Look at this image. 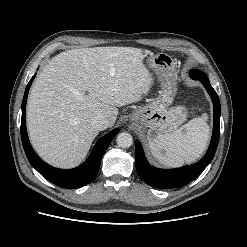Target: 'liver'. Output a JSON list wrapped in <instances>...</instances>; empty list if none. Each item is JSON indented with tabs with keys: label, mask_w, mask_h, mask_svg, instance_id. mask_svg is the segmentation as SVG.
Segmentation results:
<instances>
[{
	"label": "liver",
	"mask_w": 247,
	"mask_h": 247,
	"mask_svg": "<svg viewBox=\"0 0 247 247\" xmlns=\"http://www.w3.org/2000/svg\"><path fill=\"white\" fill-rule=\"evenodd\" d=\"M148 54L134 47H94L50 60L27 104V128L37 154L59 168L80 164L98 135L92 119L101 114L112 127L117 107L149 91L154 79L143 63Z\"/></svg>",
	"instance_id": "6515ba94"
}]
</instances>
